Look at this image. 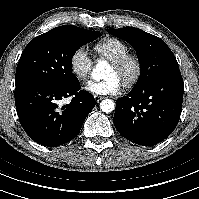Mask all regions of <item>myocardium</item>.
<instances>
[{
	"label": "myocardium",
	"instance_id": "1",
	"mask_svg": "<svg viewBox=\"0 0 199 199\" xmlns=\"http://www.w3.org/2000/svg\"><path fill=\"white\" fill-rule=\"evenodd\" d=\"M111 65L117 70H126L123 83L125 86L133 85L139 78L142 71V63L140 57L135 54L128 52L125 55L111 62Z\"/></svg>",
	"mask_w": 199,
	"mask_h": 199
}]
</instances>
